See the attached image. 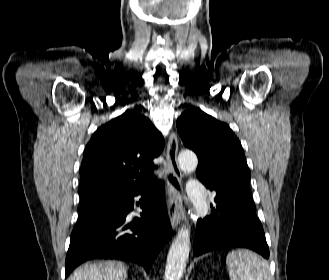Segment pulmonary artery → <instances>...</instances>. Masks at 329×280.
<instances>
[{"mask_svg": "<svg viewBox=\"0 0 329 280\" xmlns=\"http://www.w3.org/2000/svg\"><path fill=\"white\" fill-rule=\"evenodd\" d=\"M188 195L192 201H202L204 202V198L206 195L205 186L198 180H192L188 184Z\"/></svg>", "mask_w": 329, "mask_h": 280, "instance_id": "pulmonary-artery-1", "label": "pulmonary artery"}]
</instances>
